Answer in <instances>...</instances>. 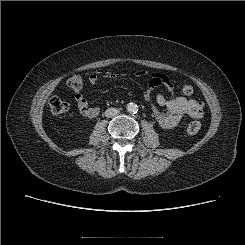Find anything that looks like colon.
Returning <instances> with one entry per match:
<instances>
[{
  "label": "colon",
  "instance_id": "5ec220e1",
  "mask_svg": "<svg viewBox=\"0 0 245 245\" xmlns=\"http://www.w3.org/2000/svg\"><path fill=\"white\" fill-rule=\"evenodd\" d=\"M67 85L70 89L79 91L83 86V79L80 75H73L68 79ZM181 91L184 95L190 96L193 94L194 89L190 84H184L181 88ZM49 108L54 115H60L68 111L69 105L64 99L54 96L49 101ZM200 129V121H192L187 126L186 130L189 135H195L199 132Z\"/></svg>",
  "mask_w": 245,
  "mask_h": 245
}]
</instances>
